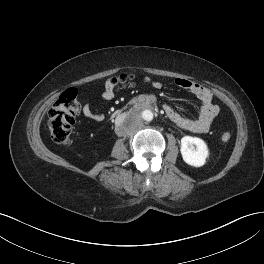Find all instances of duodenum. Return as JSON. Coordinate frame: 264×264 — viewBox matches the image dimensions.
I'll use <instances>...</instances> for the list:
<instances>
[{
  "label": "duodenum",
  "instance_id": "1",
  "mask_svg": "<svg viewBox=\"0 0 264 264\" xmlns=\"http://www.w3.org/2000/svg\"><path fill=\"white\" fill-rule=\"evenodd\" d=\"M154 106V99L150 98L149 96H144L142 98H138L135 103V107L137 109H151ZM133 111H127L121 114L124 118L130 116Z\"/></svg>",
  "mask_w": 264,
  "mask_h": 264
}]
</instances>
